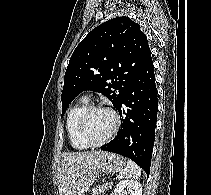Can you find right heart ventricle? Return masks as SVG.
Segmentation results:
<instances>
[{"mask_svg":"<svg viewBox=\"0 0 211 195\" xmlns=\"http://www.w3.org/2000/svg\"><path fill=\"white\" fill-rule=\"evenodd\" d=\"M89 106L86 98H81L74 106L70 108L67 114L66 128L70 143L77 150H84L87 146L80 140L77 133V123L80 115Z\"/></svg>","mask_w":211,"mask_h":195,"instance_id":"e07e8e85","label":"right heart ventricle"}]
</instances>
